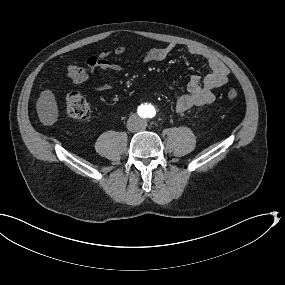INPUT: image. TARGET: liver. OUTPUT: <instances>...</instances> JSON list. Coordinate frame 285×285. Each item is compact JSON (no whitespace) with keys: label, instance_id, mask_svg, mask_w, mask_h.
<instances>
[{"label":"liver","instance_id":"obj_1","mask_svg":"<svg viewBox=\"0 0 285 285\" xmlns=\"http://www.w3.org/2000/svg\"><path fill=\"white\" fill-rule=\"evenodd\" d=\"M36 112L40 123L44 126H52L57 122L59 108L52 89L46 88L40 92L36 102Z\"/></svg>","mask_w":285,"mask_h":285}]
</instances>
